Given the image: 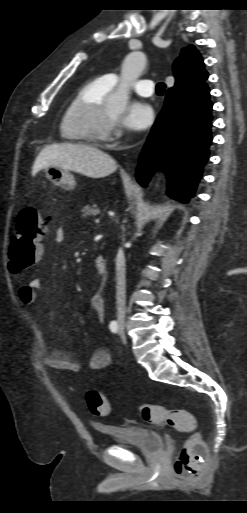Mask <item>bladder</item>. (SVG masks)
<instances>
[{
    "mask_svg": "<svg viewBox=\"0 0 247 513\" xmlns=\"http://www.w3.org/2000/svg\"><path fill=\"white\" fill-rule=\"evenodd\" d=\"M98 430L110 435L114 444L133 447L145 454L160 452L164 447L161 435L152 429L128 425H101Z\"/></svg>",
    "mask_w": 247,
    "mask_h": 513,
    "instance_id": "31cf9c89",
    "label": "bladder"
}]
</instances>
